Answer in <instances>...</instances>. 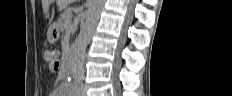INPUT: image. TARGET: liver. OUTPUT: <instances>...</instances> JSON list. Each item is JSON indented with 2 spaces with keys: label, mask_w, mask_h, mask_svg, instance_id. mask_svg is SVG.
Here are the masks:
<instances>
[{
  "label": "liver",
  "mask_w": 232,
  "mask_h": 96,
  "mask_svg": "<svg viewBox=\"0 0 232 96\" xmlns=\"http://www.w3.org/2000/svg\"><path fill=\"white\" fill-rule=\"evenodd\" d=\"M54 2V0H42V7H43V12L45 14L46 18H49V8L50 5ZM57 6L59 10L64 9L68 4L72 2V0H57Z\"/></svg>",
  "instance_id": "obj_1"
}]
</instances>
